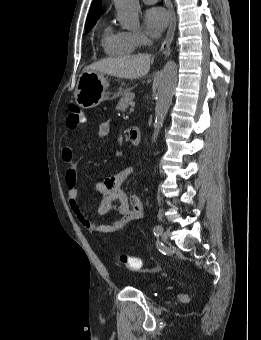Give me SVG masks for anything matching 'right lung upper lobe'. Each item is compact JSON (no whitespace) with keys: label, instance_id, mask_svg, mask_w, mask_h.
Returning <instances> with one entry per match:
<instances>
[{"label":"right lung upper lobe","instance_id":"1","mask_svg":"<svg viewBox=\"0 0 261 340\" xmlns=\"http://www.w3.org/2000/svg\"><path fill=\"white\" fill-rule=\"evenodd\" d=\"M100 3H101V0H94L92 6L90 8L86 23L96 21L99 18L100 14H101V4Z\"/></svg>","mask_w":261,"mask_h":340}]
</instances>
